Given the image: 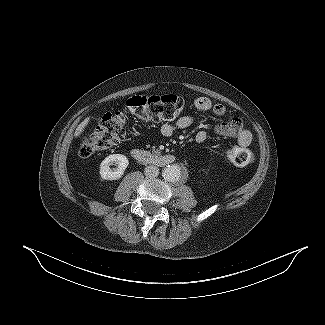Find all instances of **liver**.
Listing matches in <instances>:
<instances>
[{
  "label": "liver",
  "instance_id": "liver-1",
  "mask_svg": "<svg viewBox=\"0 0 325 325\" xmlns=\"http://www.w3.org/2000/svg\"><path fill=\"white\" fill-rule=\"evenodd\" d=\"M90 121V118L87 117L83 122H81V124L76 128V131H75V137H79L82 132L84 131L85 127L88 125Z\"/></svg>",
  "mask_w": 325,
  "mask_h": 325
}]
</instances>
